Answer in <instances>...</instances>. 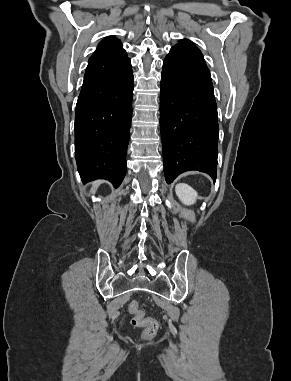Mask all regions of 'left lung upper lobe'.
Here are the masks:
<instances>
[{"label":"left lung upper lobe","instance_id":"1","mask_svg":"<svg viewBox=\"0 0 291 381\" xmlns=\"http://www.w3.org/2000/svg\"><path fill=\"white\" fill-rule=\"evenodd\" d=\"M173 48L186 53L200 63L206 64L201 51L188 39L180 40Z\"/></svg>","mask_w":291,"mask_h":381}]
</instances>
